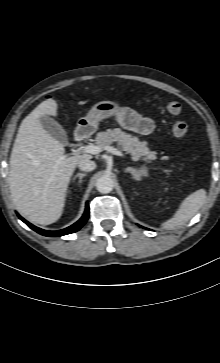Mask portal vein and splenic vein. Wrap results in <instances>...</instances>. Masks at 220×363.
Instances as JSON below:
<instances>
[{"label": "portal vein and splenic vein", "instance_id": "obj_1", "mask_svg": "<svg viewBox=\"0 0 220 363\" xmlns=\"http://www.w3.org/2000/svg\"><path fill=\"white\" fill-rule=\"evenodd\" d=\"M103 150H107L108 152L120 156V157H125V155L118 149L112 147V146H106V147H101V146H97L94 144H89L83 147V151L86 153H90V154H99L101 153Z\"/></svg>", "mask_w": 220, "mask_h": 363}]
</instances>
